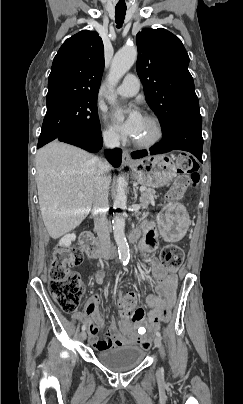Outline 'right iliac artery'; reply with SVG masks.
Segmentation results:
<instances>
[{"label": "right iliac artery", "instance_id": "right-iliac-artery-1", "mask_svg": "<svg viewBox=\"0 0 243 404\" xmlns=\"http://www.w3.org/2000/svg\"><path fill=\"white\" fill-rule=\"evenodd\" d=\"M82 330H83V331L85 330V326H84V325L82 326Z\"/></svg>", "mask_w": 243, "mask_h": 404}]
</instances>
